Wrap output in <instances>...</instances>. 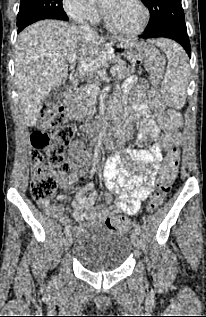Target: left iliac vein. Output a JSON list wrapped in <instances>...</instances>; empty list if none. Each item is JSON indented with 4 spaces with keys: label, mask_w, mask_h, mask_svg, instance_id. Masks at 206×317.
Masks as SVG:
<instances>
[{
    "label": "left iliac vein",
    "mask_w": 206,
    "mask_h": 317,
    "mask_svg": "<svg viewBox=\"0 0 206 317\" xmlns=\"http://www.w3.org/2000/svg\"><path fill=\"white\" fill-rule=\"evenodd\" d=\"M131 241H132V244L134 245V247L139 246V236L136 232H133L131 234Z\"/></svg>",
    "instance_id": "obj_1"
}]
</instances>
